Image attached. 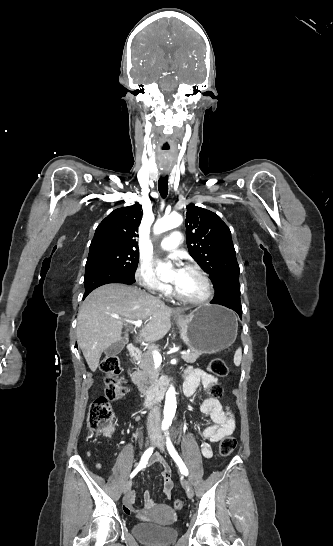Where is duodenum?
I'll return each mask as SVG.
<instances>
[{
  "mask_svg": "<svg viewBox=\"0 0 333 546\" xmlns=\"http://www.w3.org/2000/svg\"><path fill=\"white\" fill-rule=\"evenodd\" d=\"M127 351L131 359L135 360L140 357V352L138 348H136L134 345H129ZM170 384H171V381L169 378L167 377L159 378L152 385V387L142 395V403L144 405L157 404L162 399L165 392L168 390Z\"/></svg>",
  "mask_w": 333,
  "mask_h": 546,
  "instance_id": "obj_1",
  "label": "duodenum"
}]
</instances>
